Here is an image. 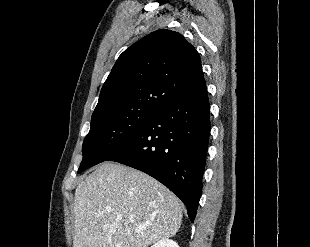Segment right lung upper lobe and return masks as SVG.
Returning a JSON list of instances; mask_svg holds the SVG:
<instances>
[{
  "mask_svg": "<svg viewBox=\"0 0 310 247\" xmlns=\"http://www.w3.org/2000/svg\"><path fill=\"white\" fill-rule=\"evenodd\" d=\"M204 85L196 49L178 32L157 30L119 56L92 117L135 107L159 110Z\"/></svg>",
  "mask_w": 310,
  "mask_h": 247,
  "instance_id": "right-lung-upper-lobe-1",
  "label": "right lung upper lobe"
}]
</instances>
